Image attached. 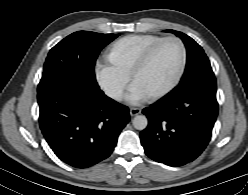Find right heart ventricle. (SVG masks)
Listing matches in <instances>:
<instances>
[{"label": "right heart ventricle", "mask_w": 248, "mask_h": 195, "mask_svg": "<svg viewBox=\"0 0 248 195\" xmlns=\"http://www.w3.org/2000/svg\"><path fill=\"white\" fill-rule=\"evenodd\" d=\"M162 36H142L120 44L114 51L111 63L122 76H129L148 54L163 40Z\"/></svg>", "instance_id": "e07e8e85"}]
</instances>
